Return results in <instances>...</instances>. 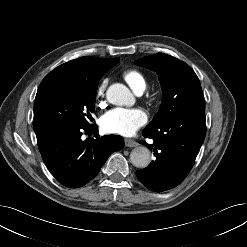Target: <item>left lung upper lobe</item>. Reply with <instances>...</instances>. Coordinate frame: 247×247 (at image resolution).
Wrapping results in <instances>:
<instances>
[{
	"mask_svg": "<svg viewBox=\"0 0 247 247\" xmlns=\"http://www.w3.org/2000/svg\"><path fill=\"white\" fill-rule=\"evenodd\" d=\"M135 63L156 71L163 91L161 107L146 129H154L178 115L205 114L200 81L185 62L157 53L138 59Z\"/></svg>",
	"mask_w": 247,
	"mask_h": 247,
	"instance_id": "obj_1",
	"label": "left lung upper lobe"
}]
</instances>
